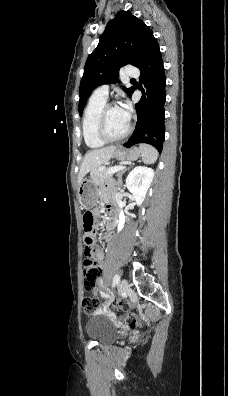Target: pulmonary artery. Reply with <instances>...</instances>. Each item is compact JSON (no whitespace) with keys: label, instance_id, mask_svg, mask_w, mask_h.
Returning a JSON list of instances; mask_svg holds the SVG:
<instances>
[{"label":"pulmonary artery","instance_id":"pulmonary-artery-1","mask_svg":"<svg viewBox=\"0 0 228 396\" xmlns=\"http://www.w3.org/2000/svg\"><path fill=\"white\" fill-rule=\"evenodd\" d=\"M125 75L130 78H135L139 76V70L134 67H129L125 71ZM109 94V86L108 85H101L94 90L93 95L107 99Z\"/></svg>","mask_w":228,"mask_h":396}]
</instances>
